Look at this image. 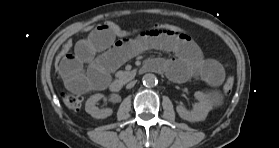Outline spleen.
Returning a JSON list of instances; mask_svg holds the SVG:
<instances>
[{
    "mask_svg": "<svg viewBox=\"0 0 279 148\" xmlns=\"http://www.w3.org/2000/svg\"><path fill=\"white\" fill-rule=\"evenodd\" d=\"M222 96L219 93H215L212 95V103H215L216 105L222 104Z\"/></svg>",
    "mask_w": 279,
    "mask_h": 148,
    "instance_id": "spleen-1",
    "label": "spleen"
}]
</instances>
